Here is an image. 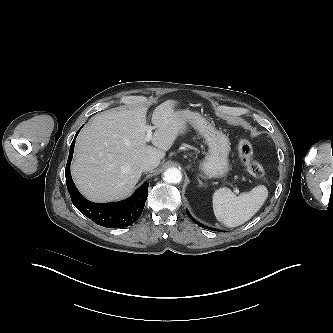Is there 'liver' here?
<instances>
[{
  "label": "liver",
  "instance_id": "1",
  "mask_svg": "<svg viewBox=\"0 0 333 333\" xmlns=\"http://www.w3.org/2000/svg\"><path fill=\"white\" fill-rule=\"evenodd\" d=\"M146 115L145 108L106 111L94 116L79 133L71 173L86 198L109 202L129 195L142 175L141 162L162 160L185 131L186 122L176 113L175 104L162 103L151 117L155 147L147 145Z\"/></svg>",
  "mask_w": 333,
  "mask_h": 333
}]
</instances>
